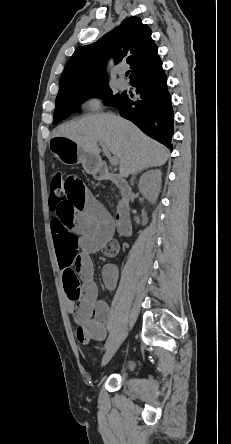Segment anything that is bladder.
I'll list each match as a JSON object with an SVG mask.
<instances>
[{
    "instance_id": "1",
    "label": "bladder",
    "mask_w": 231,
    "mask_h": 444,
    "mask_svg": "<svg viewBox=\"0 0 231 444\" xmlns=\"http://www.w3.org/2000/svg\"><path fill=\"white\" fill-rule=\"evenodd\" d=\"M118 367L125 373H129L133 369V362L131 359H124L120 361Z\"/></svg>"
}]
</instances>
